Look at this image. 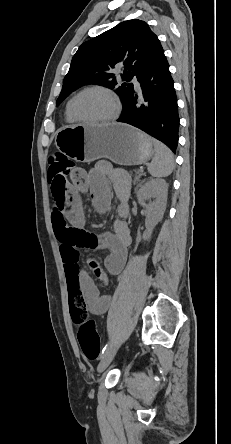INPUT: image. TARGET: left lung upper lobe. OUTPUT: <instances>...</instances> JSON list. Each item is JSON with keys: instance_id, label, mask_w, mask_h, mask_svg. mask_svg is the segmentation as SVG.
<instances>
[{"instance_id": "5c2ea615", "label": "left lung upper lobe", "mask_w": 231, "mask_h": 444, "mask_svg": "<svg viewBox=\"0 0 231 444\" xmlns=\"http://www.w3.org/2000/svg\"><path fill=\"white\" fill-rule=\"evenodd\" d=\"M160 48V41L148 24L135 19L124 21L83 43L71 61L56 105L83 85L97 84L114 89L117 82L113 69L116 67L123 68L124 81H131ZM126 82L116 88L123 103L133 89V84Z\"/></svg>"}]
</instances>
